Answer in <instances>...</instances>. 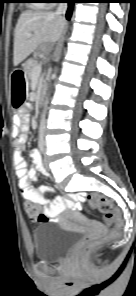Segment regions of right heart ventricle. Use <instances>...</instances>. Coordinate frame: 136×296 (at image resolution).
Listing matches in <instances>:
<instances>
[{"label": "right heart ventricle", "instance_id": "right-heart-ventricle-1", "mask_svg": "<svg viewBox=\"0 0 136 296\" xmlns=\"http://www.w3.org/2000/svg\"><path fill=\"white\" fill-rule=\"evenodd\" d=\"M32 6L35 8H45L48 7L49 4L44 0H36V2L32 3Z\"/></svg>", "mask_w": 136, "mask_h": 296}]
</instances>
